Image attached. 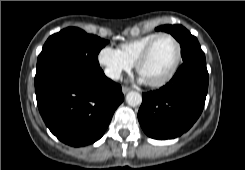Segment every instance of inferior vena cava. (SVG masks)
Segmentation results:
<instances>
[{
    "label": "inferior vena cava",
    "mask_w": 245,
    "mask_h": 170,
    "mask_svg": "<svg viewBox=\"0 0 245 170\" xmlns=\"http://www.w3.org/2000/svg\"><path fill=\"white\" fill-rule=\"evenodd\" d=\"M105 75L111 79L118 80L120 78V71L115 69H105Z\"/></svg>",
    "instance_id": "inferior-vena-cava-1"
}]
</instances>
